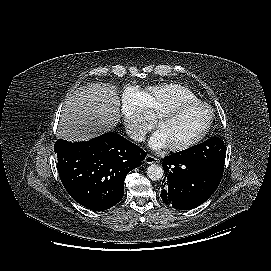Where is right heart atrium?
I'll return each instance as SVG.
<instances>
[{
    "label": "right heart atrium",
    "mask_w": 271,
    "mask_h": 271,
    "mask_svg": "<svg viewBox=\"0 0 271 271\" xmlns=\"http://www.w3.org/2000/svg\"><path fill=\"white\" fill-rule=\"evenodd\" d=\"M121 114L130 138L142 141L152 127V121L146 116L144 93L136 87H129L123 96Z\"/></svg>",
    "instance_id": "right-heart-atrium-1"
}]
</instances>
